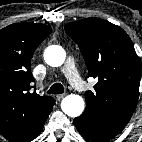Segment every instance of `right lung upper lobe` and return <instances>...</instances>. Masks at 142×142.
Wrapping results in <instances>:
<instances>
[{
  "label": "right lung upper lobe",
  "instance_id": "obj_1",
  "mask_svg": "<svg viewBox=\"0 0 142 142\" xmlns=\"http://www.w3.org/2000/svg\"><path fill=\"white\" fill-rule=\"evenodd\" d=\"M51 33L45 24L19 23L0 30V133L29 142L41 132L55 100L32 90L31 58Z\"/></svg>",
  "mask_w": 142,
  "mask_h": 142
}]
</instances>
